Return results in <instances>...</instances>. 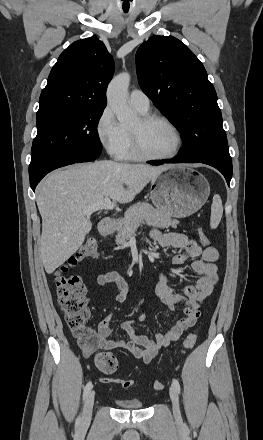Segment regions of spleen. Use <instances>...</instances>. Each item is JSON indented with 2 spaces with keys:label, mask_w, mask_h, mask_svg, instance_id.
I'll list each match as a JSON object with an SVG mask.
<instances>
[{
  "label": "spleen",
  "mask_w": 263,
  "mask_h": 440,
  "mask_svg": "<svg viewBox=\"0 0 263 440\" xmlns=\"http://www.w3.org/2000/svg\"><path fill=\"white\" fill-rule=\"evenodd\" d=\"M223 215V205L220 195L215 194L213 196V202L211 205V217L210 228L216 229L221 221Z\"/></svg>",
  "instance_id": "spleen-1"
}]
</instances>
